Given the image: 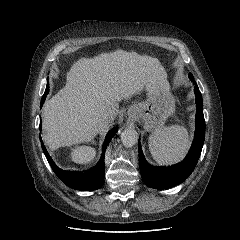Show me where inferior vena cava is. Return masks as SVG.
<instances>
[{
	"label": "inferior vena cava",
	"instance_id": "obj_1",
	"mask_svg": "<svg viewBox=\"0 0 240 240\" xmlns=\"http://www.w3.org/2000/svg\"><path fill=\"white\" fill-rule=\"evenodd\" d=\"M111 122V117L107 113H102L100 118L97 121V125L99 128H102L103 126H106Z\"/></svg>",
	"mask_w": 240,
	"mask_h": 240
}]
</instances>
